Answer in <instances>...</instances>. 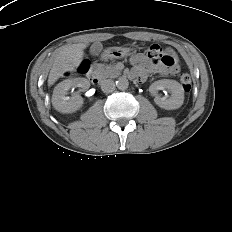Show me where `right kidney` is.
<instances>
[{
  "label": "right kidney",
  "instance_id": "obj_1",
  "mask_svg": "<svg viewBox=\"0 0 232 232\" xmlns=\"http://www.w3.org/2000/svg\"><path fill=\"white\" fill-rule=\"evenodd\" d=\"M90 83L85 78L66 79L60 82L54 89L52 95L53 107L61 113H73L80 109L83 104V99L79 95L67 97V92L70 88L81 87L82 90L88 89Z\"/></svg>",
  "mask_w": 232,
  "mask_h": 232
}]
</instances>
